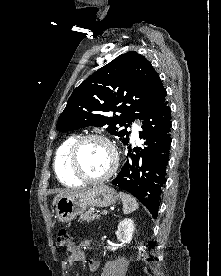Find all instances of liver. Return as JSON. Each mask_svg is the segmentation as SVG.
<instances>
[{
  "label": "liver",
  "mask_w": 221,
  "mask_h": 276,
  "mask_svg": "<svg viewBox=\"0 0 221 276\" xmlns=\"http://www.w3.org/2000/svg\"><path fill=\"white\" fill-rule=\"evenodd\" d=\"M84 191V189L82 190H77V191H72V190H66V191H62L60 192L59 194H57L54 199H53V205H55L57 203V201L64 197V196H67V195H71V194H74V193H78V192H82Z\"/></svg>",
  "instance_id": "obj_1"
}]
</instances>
